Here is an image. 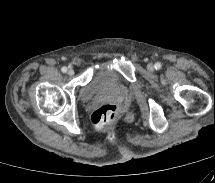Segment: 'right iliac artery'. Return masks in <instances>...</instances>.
<instances>
[{"label": "right iliac artery", "instance_id": "1", "mask_svg": "<svg viewBox=\"0 0 215 183\" xmlns=\"http://www.w3.org/2000/svg\"><path fill=\"white\" fill-rule=\"evenodd\" d=\"M61 71H62L63 73H66V72H67V68H66V67H62Z\"/></svg>", "mask_w": 215, "mask_h": 183}]
</instances>
